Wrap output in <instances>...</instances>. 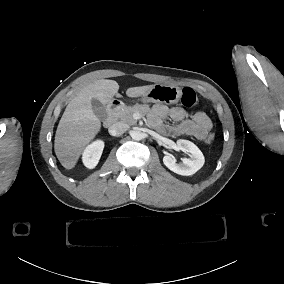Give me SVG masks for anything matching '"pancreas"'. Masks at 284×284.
I'll list each match as a JSON object with an SVG mask.
<instances>
[{
	"label": "pancreas",
	"instance_id": "cf45deb5",
	"mask_svg": "<svg viewBox=\"0 0 284 284\" xmlns=\"http://www.w3.org/2000/svg\"><path fill=\"white\" fill-rule=\"evenodd\" d=\"M149 111L150 107L147 104L126 106L118 112V118L129 125H136L137 121L133 118V114L139 113L141 116H145Z\"/></svg>",
	"mask_w": 284,
	"mask_h": 284
}]
</instances>
